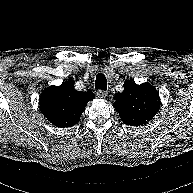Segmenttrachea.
Returning <instances> with one entry per match:
<instances>
[{
	"label": "trachea",
	"mask_w": 193,
	"mask_h": 193,
	"mask_svg": "<svg viewBox=\"0 0 193 193\" xmlns=\"http://www.w3.org/2000/svg\"><path fill=\"white\" fill-rule=\"evenodd\" d=\"M95 88L104 91L107 89V79L104 74L102 73L97 74L95 80Z\"/></svg>",
	"instance_id": "obj_1"
}]
</instances>
